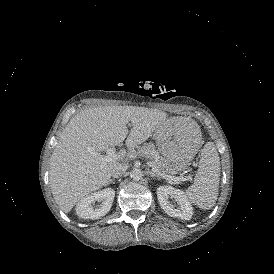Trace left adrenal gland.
<instances>
[{"label": "left adrenal gland", "instance_id": "a2214340", "mask_svg": "<svg viewBox=\"0 0 274 274\" xmlns=\"http://www.w3.org/2000/svg\"><path fill=\"white\" fill-rule=\"evenodd\" d=\"M146 173L149 174L151 177H156V178H158L159 180L162 179V177H161L160 175L154 173V172H153L152 170H150V169H149Z\"/></svg>", "mask_w": 274, "mask_h": 274}]
</instances>
